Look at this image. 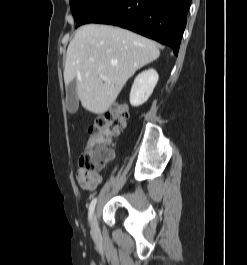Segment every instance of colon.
Instances as JSON below:
<instances>
[{"mask_svg":"<svg viewBox=\"0 0 247 265\" xmlns=\"http://www.w3.org/2000/svg\"><path fill=\"white\" fill-rule=\"evenodd\" d=\"M128 109L116 104L102 117L96 119L88 130L86 149L80 166L87 174L99 175L113 157L112 145L126 127Z\"/></svg>","mask_w":247,"mask_h":265,"instance_id":"obj_1","label":"colon"}]
</instances>
